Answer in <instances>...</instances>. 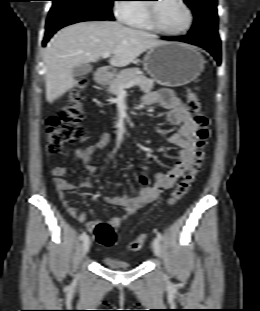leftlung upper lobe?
I'll return each instance as SVG.
<instances>
[{
    "label": "left lung upper lobe",
    "mask_w": 260,
    "mask_h": 311,
    "mask_svg": "<svg viewBox=\"0 0 260 311\" xmlns=\"http://www.w3.org/2000/svg\"><path fill=\"white\" fill-rule=\"evenodd\" d=\"M192 9L194 23L189 36L219 40L217 0H184Z\"/></svg>",
    "instance_id": "1"
}]
</instances>
